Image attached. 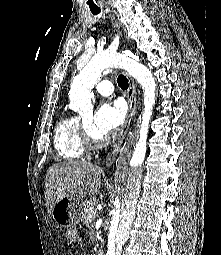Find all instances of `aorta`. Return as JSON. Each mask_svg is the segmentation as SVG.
<instances>
[{
    "mask_svg": "<svg viewBox=\"0 0 221 255\" xmlns=\"http://www.w3.org/2000/svg\"><path fill=\"white\" fill-rule=\"evenodd\" d=\"M122 65V56L115 52L107 51L94 55L72 81L69 91L70 108L77 111L82 117L92 116L94 108L92 89L100 80L104 70ZM134 76L145 91V100L148 103H153L154 83L146 70L140 68L134 73ZM145 154L146 141L142 138L134 150L130 147L123 148L117 160L116 207L111 220L107 255H121L122 246L129 238V231L135 218Z\"/></svg>",
    "mask_w": 221,
    "mask_h": 255,
    "instance_id": "obj_1",
    "label": "aorta"
}]
</instances>
